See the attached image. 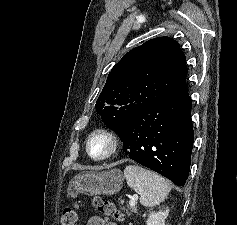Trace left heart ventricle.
Segmentation results:
<instances>
[{
	"label": "left heart ventricle",
	"instance_id": "left-heart-ventricle-1",
	"mask_svg": "<svg viewBox=\"0 0 237 225\" xmlns=\"http://www.w3.org/2000/svg\"><path fill=\"white\" fill-rule=\"evenodd\" d=\"M107 149V143L104 139H96L93 144H92V153L94 155H101L105 152V150Z\"/></svg>",
	"mask_w": 237,
	"mask_h": 225
}]
</instances>
